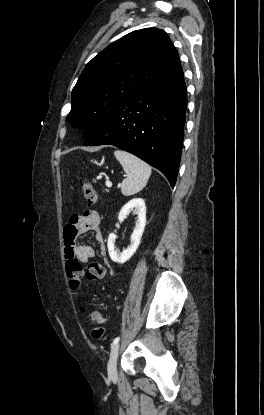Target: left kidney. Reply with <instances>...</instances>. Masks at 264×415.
Here are the masks:
<instances>
[{"label":"left kidney","instance_id":"5707ae66","mask_svg":"<svg viewBox=\"0 0 264 415\" xmlns=\"http://www.w3.org/2000/svg\"><path fill=\"white\" fill-rule=\"evenodd\" d=\"M130 211H133L134 214L138 215L135 224V229L131 235L130 245L125 250L120 252L118 249L115 248L116 235L114 233H111L108 237L107 246L109 256L114 262L119 264L125 263L136 252L146 225V206L142 198H134L127 202L119 212V221H123L125 218H127L128 213Z\"/></svg>","mask_w":264,"mask_h":415}]
</instances>
